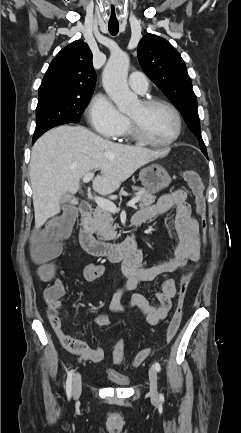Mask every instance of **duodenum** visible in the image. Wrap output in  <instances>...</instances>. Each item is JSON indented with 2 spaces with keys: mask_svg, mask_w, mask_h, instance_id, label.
<instances>
[{
  "mask_svg": "<svg viewBox=\"0 0 241 433\" xmlns=\"http://www.w3.org/2000/svg\"><path fill=\"white\" fill-rule=\"evenodd\" d=\"M94 207L89 201H84L80 205L81 227L80 244L89 254L96 257H103L111 262L128 260L137 254V238L134 233L129 234L120 243H107L99 241L91 230V218ZM144 222V218L135 215L132 219V226L138 227Z\"/></svg>",
  "mask_w": 241,
  "mask_h": 433,
  "instance_id": "410a0bca",
  "label": "duodenum"
}]
</instances>
